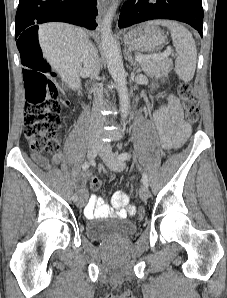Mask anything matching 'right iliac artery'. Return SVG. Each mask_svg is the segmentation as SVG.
I'll use <instances>...</instances> for the list:
<instances>
[{"instance_id": "1", "label": "right iliac artery", "mask_w": 227, "mask_h": 298, "mask_svg": "<svg viewBox=\"0 0 227 298\" xmlns=\"http://www.w3.org/2000/svg\"><path fill=\"white\" fill-rule=\"evenodd\" d=\"M90 166V163L89 162H85L83 165H82V169L83 170H87ZM72 200L73 201H77L78 200V196L77 195H73L72 196Z\"/></svg>"}]
</instances>
